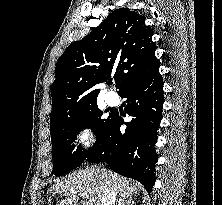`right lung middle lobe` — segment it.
Masks as SVG:
<instances>
[{"label": "right lung middle lobe", "mask_w": 222, "mask_h": 205, "mask_svg": "<svg viewBox=\"0 0 222 205\" xmlns=\"http://www.w3.org/2000/svg\"><path fill=\"white\" fill-rule=\"evenodd\" d=\"M102 115L103 112L99 110L97 104H94L69 117L51 123L53 174L61 176L84 162L92 148L83 151L77 148L72 153L74 149L72 143L76 140V135L80 130L85 128H91L98 139L114 118L113 113H110L107 118H103Z\"/></svg>", "instance_id": "dd1d6c3e"}]
</instances>
